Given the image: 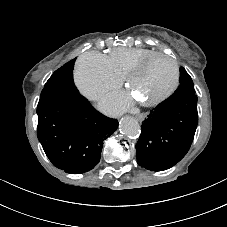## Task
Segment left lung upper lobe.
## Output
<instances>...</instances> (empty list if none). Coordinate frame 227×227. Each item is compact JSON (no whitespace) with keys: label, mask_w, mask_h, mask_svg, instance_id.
I'll use <instances>...</instances> for the list:
<instances>
[{"label":"left lung upper lobe","mask_w":227,"mask_h":227,"mask_svg":"<svg viewBox=\"0 0 227 227\" xmlns=\"http://www.w3.org/2000/svg\"><path fill=\"white\" fill-rule=\"evenodd\" d=\"M180 73H181L180 85L174 94L195 93L193 81L190 75L186 72V70L183 67L180 69Z\"/></svg>","instance_id":"1"}]
</instances>
